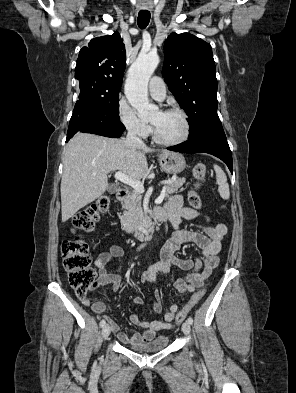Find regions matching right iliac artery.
<instances>
[{
    "label": "right iliac artery",
    "instance_id": "right-iliac-artery-1",
    "mask_svg": "<svg viewBox=\"0 0 296 393\" xmlns=\"http://www.w3.org/2000/svg\"><path fill=\"white\" fill-rule=\"evenodd\" d=\"M143 246H144V244L141 245V246L139 247V249L142 248ZM105 324H106L105 320H101V321H100V327H103Z\"/></svg>",
    "mask_w": 296,
    "mask_h": 393
}]
</instances>
